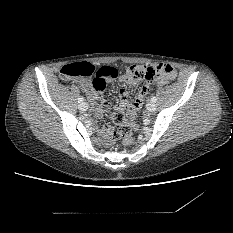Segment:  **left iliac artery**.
I'll use <instances>...</instances> for the list:
<instances>
[{
  "label": "left iliac artery",
  "instance_id": "44dca946",
  "mask_svg": "<svg viewBox=\"0 0 233 233\" xmlns=\"http://www.w3.org/2000/svg\"><path fill=\"white\" fill-rule=\"evenodd\" d=\"M156 101H157L156 97H152V98H151V102H152V103H155Z\"/></svg>",
  "mask_w": 233,
  "mask_h": 233
}]
</instances>
